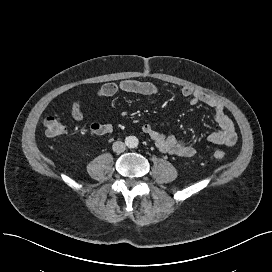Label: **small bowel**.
<instances>
[{"instance_id": "1", "label": "small bowel", "mask_w": 272, "mask_h": 272, "mask_svg": "<svg viewBox=\"0 0 272 272\" xmlns=\"http://www.w3.org/2000/svg\"><path fill=\"white\" fill-rule=\"evenodd\" d=\"M120 92L134 93L154 98L158 93V87L151 82L123 80L118 83H106L102 85L98 89L97 95L99 97H110ZM181 94L187 98L192 105L204 104L213 109L219 130L213 131L207 136L208 142L224 146H232L236 143L237 132L235 125L226 114L225 105L221 100L188 86L181 88ZM72 116L75 121H82L83 113L80 102L73 104ZM89 130L95 135L108 136L113 132V126L111 124L93 122L89 125ZM141 130L163 153L188 158L192 157L196 152L192 145L173 135H167L155 129L151 124H143Z\"/></svg>"}]
</instances>
